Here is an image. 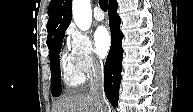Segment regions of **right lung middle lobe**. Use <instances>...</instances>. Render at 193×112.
<instances>
[{"label": "right lung middle lobe", "mask_w": 193, "mask_h": 112, "mask_svg": "<svg viewBox=\"0 0 193 112\" xmlns=\"http://www.w3.org/2000/svg\"><path fill=\"white\" fill-rule=\"evenodd\" d=\"M65 32L60 34L52 42L49 48V58L51 66V77H52V95L58 97L61 95L62 87L60 81V59L59 54L61 51L62 41L64 38Z\"/></svg>", "instance_id": "right-lung-middle-lobe-1"}]
</instances>
